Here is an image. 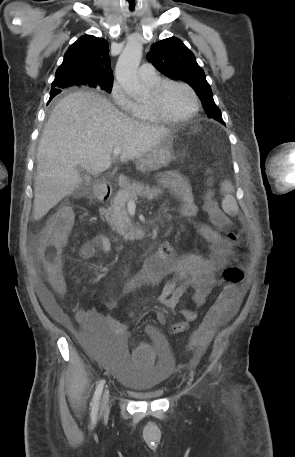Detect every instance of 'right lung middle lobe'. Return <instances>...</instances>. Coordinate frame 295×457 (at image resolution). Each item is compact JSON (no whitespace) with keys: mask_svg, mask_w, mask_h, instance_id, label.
<instances>
[{"mask_svg":"<svg viewBox=\"0 0 295 457\" xmlns=\"http://www.w3.org/2000/svg\"><path fill=\"white\" fill-rule=\"evenodd\" d=\"M112 84H113L112 82H109V83H106L105 85L98 86V87H101L102 89H104V90L107 91V92H111V90H112ZM72 85H75V84H68V85H66L65 87L72 86ZM77 86H79V85L77 84ZM90 87H96V86H95V84H93V85H91Z\"/></svg>","mask_w":295,"mask_h":457,"instance_id":"right-lung-middle-lobe-1","label":"right lung middle lobe"}]
</instances>
